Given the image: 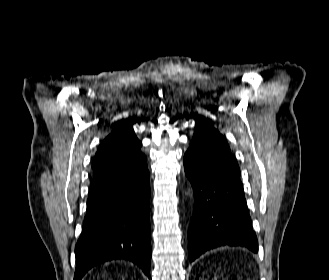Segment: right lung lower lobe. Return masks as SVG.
<instances>
[{"mask_svg": "<svg viewBox=\"0 0 329 280\" xmlns=\"http://www.w3.org/2000/svg\"><path fill=\"white\" fill-rule=\"evenodd\" d=\"M150 181L147 165L94 176L82 234L75 247L74 280L113 259L134 262L150 277Z\"/></svg>", "mask_w": 329, "mask_h": 280, "instance_id": "1", "label": "right lung lower lobe"}]
</instances>
